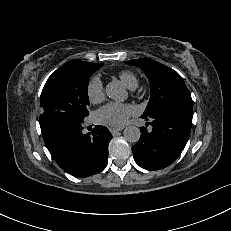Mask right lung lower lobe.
<instances>
[{
	"label": "right lung lower lobe",
	"mask_w": 231,
	"mask_h": 231,
	"mask_svg": "<svg viewBox=\"0 0 231 231\" xmlns=\"http://www.w3.org/2000/svg\"><path fill=\"white\" fill-rule=\"evenodd\" d=\"M82 123H65L43 136L56 163L74 177H87L105 168L112 138L104 126H96L91 133L83 134Z\"/></svg>",
	"instance_id": "98d812e1"
}]
</instances>
